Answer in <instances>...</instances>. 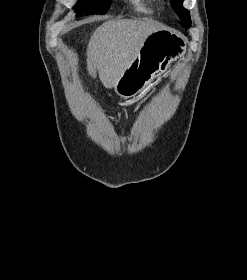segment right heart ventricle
Returning <instances> with one entry per match:
<instances>
[{
    "label": "right heart ventricle",
    "mask_w": 247,
    "mask_h": 280,
    "mask_svg": "<svg viewBox=\"0 0 247 280\" xmlns=\"http://www.w3.org/2000/svg\"><path fill=\"white\" fill-rule=\"evenodd\" d=\"M131 1L138 11L148 13V14L153 13L156 7L155 0H131Z\"/></svg>",
    "instance_id": "1"
}]
</instances>
